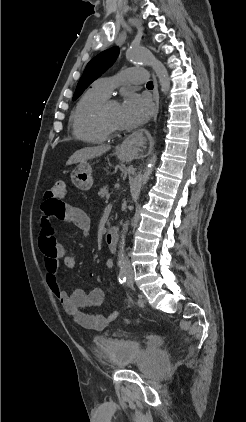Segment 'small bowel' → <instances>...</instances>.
<instances>
[{
  "label": "small bowel",
  "mask_w": 246,
  "mask_h": 422,
  "mask_svg": "<svg viewBox=\"0 0 246 422\" xmlns=\"http://www.w3.org/2000/svg\"><path fill=\"white\" fill-rule=\"evenodd\" d=\"M42 219L39 231V245L43 254V261L48 286L61 303L65 312L80 326L93 331H102L106 326L118 318L120 312L114 311L109 316L100 313H89L88 309L103 304L106 293L102 288L94 287L89 291L77 289L68 293L59 280V261H63L68 268H74L77 259L68 254L64 246L55 238V221H66L79 228L84 234L90 231V221L80 208L63 203L59 208L50 210L47 204H42ZM106 266L113 268V261L106 260Z\"/></svg>",
  "instance_id": "small-bowel-1"
}]
</instances>
